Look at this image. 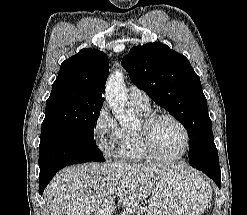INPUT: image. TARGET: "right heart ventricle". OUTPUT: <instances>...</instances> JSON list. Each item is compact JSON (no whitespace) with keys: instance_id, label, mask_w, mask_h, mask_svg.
Listing matches in <instances>:
<instances>
[{"instance_id":"e07e8e85","label":"right heart ventricle","mask_w":247,"mask_h":215,"mask_svg":"<svg viewBox=\"0 0 247 215\" xmlns=\"http://www.w3.org/2000/svg\"><path fill=\"white\" fill-rule=\"evenodd\" d=\"M132 108L140 116L146 117L149 115V108L140 109L134 106ZM116 156L126 162H143L151 159L140 143L137 130L126 128L121 129V137L119 147L116 150Z\"/></svg>"}]
</instances>
